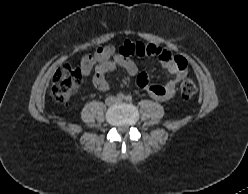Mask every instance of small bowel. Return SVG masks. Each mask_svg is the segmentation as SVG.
<instances>
[{
	"label": "small bowel",
	"mask_w": 248,
	"mask_h": 194,
	"mask_svg": "<svg viewBox=\"0 0 248 194\" xmlns=\"http://www.w3.org/2000/svg\"><path fill=\"white\" fill-rule=\"evenodd\" d=\"M136 47L137 43L130 41H126L119 51L112 45L99 47L93 54L82 58L81 72L84 76H88L94 70V86L100 91H106L109 85L105 74L122 68L127 74L136 76L137 85L151 97L157 100L171 99L175 95L178 84L188 72L187 61L155 44H145V55L157 58L171 75V79L165 85H153L147 74L138 73L137 65L130 58L137 56Z\"/></svg>",
	"instance_id": "1"
}]
</instances>
